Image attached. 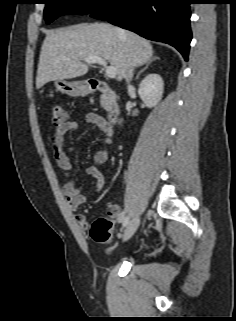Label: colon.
Segmentation results:
<instances>
[{
    "instance_id": "colon-1",
    "label": "colon",
    "mask_w": 236,
    "mask_h": 321,
    "mask_svg": "<svg viewBox=\"0 0 236 321\" xmlns=\"http://www.w3.org/2000/svg\"><path fill=\"white\" fill-rule=\"evenodd\" d=\"M52 113L54 125L61 126L68 121V113L65 108L54 106ZM89 234L95 242L105 243L110 241L112 238V222L104 217L96 219L89 229Z\"/></svg>"
}]
</instances>
